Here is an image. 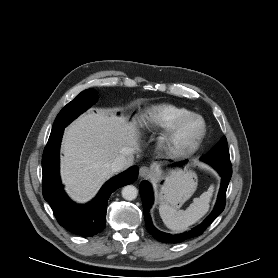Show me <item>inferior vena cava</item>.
<instances>
[{
	"label": "inferior vena cava",
	"mask_w": 278,
	"mask_h": 278,
	"mask_svg": "<svg viewBox=\"0 0 278 278\" xmlns=\"http://www.w3.org/2000/svg\"><path fill=\"white\" fill-rule=\"evenodd\" d=\"M129 164V161L124 155H118L114 161L111 163V170L113 172H119L126 168Z\"/></svg>",
	"instance_id": "obj_1"
}]
</instances>
